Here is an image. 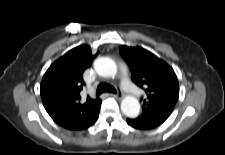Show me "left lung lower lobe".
Wrapping results in <instances>:
<instances>
[{"label": "left lung lower lobe", "instance_id": "1", "mask_svg": "<svg viewBox=\"0 0 225 155\" xmlns=\"http://www.w3.org/2000/svg\"><path fill=\"white\" fill-rule=\"evenodd\" d=\"M127 123L131 127L136 129H141V130L153 129L160 125V124H154V123H139L135 119H127Z\"/></svg>", "mask_w": 225, "mask_h": 155}]
</instances>
